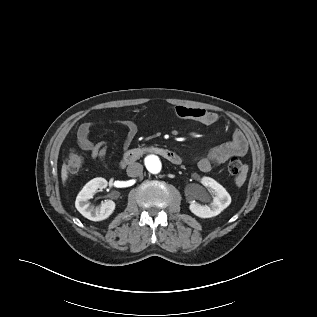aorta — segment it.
<instances>
[{
    "label": "aorta",
    "instance_id": "762f6f07",
    "mask_svg": "<svg viewBox=\"0 0 317 317\" xmlns=\"http://www.w3.org/2000/svg\"><path fill=\"white\" fill-rule=\"evenodd\" d=\"M146 168L149 172L156 174L161 171V161L157 156H148L145 160Z\"/></svg>",
    "mask_w": 317,
    "mask_h": 317
}]
</instances>
